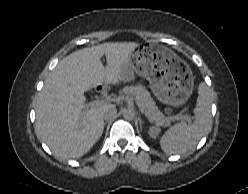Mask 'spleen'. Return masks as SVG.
I'll list each match as a JSON object with an SVG mask.
<instances>
[{"mask_svg":"<svg viewBox=\"0 0 248 194\" xmlns=\"http://www.w3.org/2000/svg\"><path fill=\"white\" fill-rule=\"evenodd\" d=\"M198 94L193 124L179 122L161 136L160 146L166 154L184 153L192 149L210 131L211 95L204 82L199 84Z\"/></svg>","mask_w":248,"mask_h":194,"instance_id":"obj_1","label":"spleen"}]
</instances>
